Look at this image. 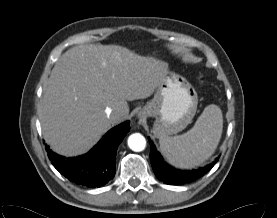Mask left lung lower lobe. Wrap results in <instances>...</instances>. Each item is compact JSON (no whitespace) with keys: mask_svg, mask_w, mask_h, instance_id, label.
Wrapping results in <instances>:
<instances>
[{"mask_svg":"<svg viewBox=\"0 0 277 218\" xmlns=\"http://www.w3.org/2000/svg\"><path fill=\"white\" fill-rule=\"evenodd\" d=\"M150 141V139H149ZM151 151L150 160L152 164L153 171L156 177L163 181L165 184L182 185L186 183L193 182L198 178L205 175L211 170L213 165L218 161V158L212 163L203 168L193 169L189 171L175 170L168 166L160 154L156 151L155 146L150 141Z\"/></svg>","mask_w":277,"mask_h":218,"instance_id":"obj_1","label":"left lung lower lobe"}]
</instances>
